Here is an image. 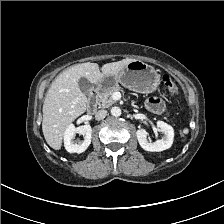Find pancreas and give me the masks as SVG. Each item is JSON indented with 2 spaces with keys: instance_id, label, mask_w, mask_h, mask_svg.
Returning a JSON list of instances; mask_svg holds the SVG:
<instances>
[{
  "instance_id": "cf45deb5",
  "label": "pancreas",
  "mask_w": 224,
  "mask_h": 224,
  "mask_svg": "<svg viewBox=\"0 0 224 224\" xmlns=\"http://www.w3.org/2000/svg\"><path fill=\"white\" fill-rule=\"evenodd\" d=\"M119 91L123 92V89L117 84V85H114L113 87H110L100 92L97 95V101L99 106H101L102 108L110 107L112 104L116 102V100H114L112 97L113 93L119 92Z\"/></svg>"
}]
</instances>
